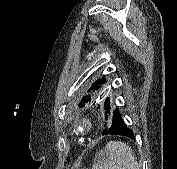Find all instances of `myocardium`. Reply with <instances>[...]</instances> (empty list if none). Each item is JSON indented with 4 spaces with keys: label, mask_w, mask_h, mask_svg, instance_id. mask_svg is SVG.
Listing matches in <instances>:
<instances>
[{
    "label": "myocardium",
    "mask_w": 177,
    "mask_h": 169,
    "mask_svg": "<svg viewBox=\"0 0 177 169\" xmlns=\"http://www.w3.org/2000/svg\"><path fill=\"white\" fill-rule=\"evenodd\" d=\"M80 125L82 126V129L84 131H89L92 128V120L89 117H84L81 121H80Z\"/></svg>",
    "instance_id": "obj_1"
}]
</instances>
